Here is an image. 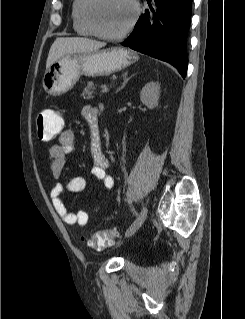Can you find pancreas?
<instances>
[{
  "instance_id": "pancreas-1",
  "label": "pancreas",
  "mask_w": 245,
  "mask_h": 319,
  "mask_svg": "<svg viewBox=\"0 0 245 319\" xmlns=\"http://www.w3.org/2000/svg\"><path fill=\"white\" fill-rule=\"evenodd\" d=\"M95 93L96 85L92 81H89L83 90L82 96L84 99H93Z\"/></svg>"
}]
</instances>
